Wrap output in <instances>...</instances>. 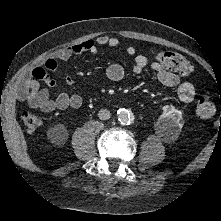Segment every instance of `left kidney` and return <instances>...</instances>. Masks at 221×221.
I'll list each match as a JSON object with an SVG mask.
<instances>
[{
    "label": "left kidney",
    "mask_w": 221,
    "mask_h": 221,
    "mask_svg": "<svg viewBox=\"0 0 221 221\" xmlns=\"http://www.w3.org/2000/svg\"><path fill=\"white\" fill-rule=\"evenodd\" d=\"M158 128L167 136H176L183 127L182 112L177 110L173 105L163 107V113L158 119Z\"/></svg>",
    "instance_id": "left-kidney-1"
}]
</instances>
